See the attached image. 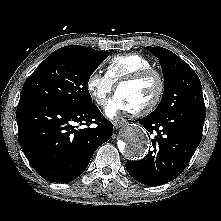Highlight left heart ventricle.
<instances>
[{"label":"left heart ventricle","mask_w":221,"mask_h":221,"mask_svg":"<svg viewBox=\"0 0 221 221\" xmlns=\"http://www.w3.org/2000/svg\"><path fill=\"white\" fill-rule=\"evenodd\" d=\"M158 91V82L155 77L143 81L121 86L117 94L122 97L130 110L140 109L149 104Z\"/></svg>","instance_id":"1"}]
</instances>
